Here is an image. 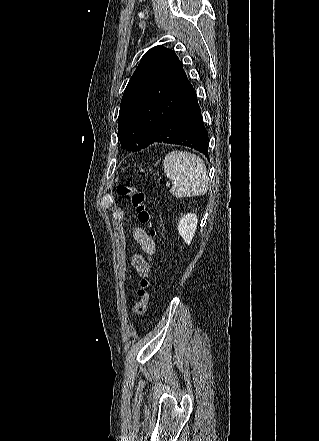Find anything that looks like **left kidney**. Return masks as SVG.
Listing matches in <instances>:
<instances>
[{
	"mask_svg": "<svg viewBox=\"0 0 319 441\" xmlns=\"http://www.w3.org/2000/svg\"><path fill=\"white\" fill-rule=\"evenodd\" d=\"M198 218L195 214L188 213L184 215L179 222L178 232L179 235L184 239L186 244L192 242L193 236L197 228Z\"/></svg>",
	"mask_w": 319,
	"mask_h": 441,
	"instance_id": "obj_1",
	"label": "left kidney"
}]
</instances>
